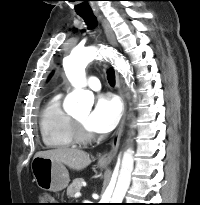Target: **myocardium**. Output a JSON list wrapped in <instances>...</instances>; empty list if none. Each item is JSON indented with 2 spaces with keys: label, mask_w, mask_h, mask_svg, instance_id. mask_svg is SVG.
Instances as JSON below:
<instances>
[{
  "label": "myocardium",
  "mask_w": 200,
  "mask_h": 205,
  "mask_svg": "<svg viewBox=\"0 0 200 205\" xmlns=\"http://www.w3.org/2000/svg\"><path fill=\"white\" fill-rule=\"evenodd\" d=\"M71 124L73 137L76 142L86 144L94 140V135L87 131L81 122L71 118Z\"/></svg>",
  "instance_id": "myocardium-1"
}]
</instances>
